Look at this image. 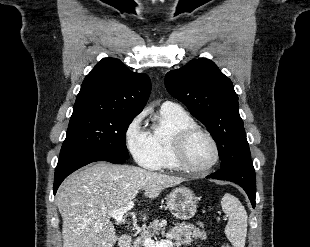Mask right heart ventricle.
<instances>
[{
  "mask_svg": "<svg viewBox=\"0 0 310 247\" xmlns=\"http://www.w3.org/2000/svg\"><path fill=\"white\" fill-rule=\"evenodd\" d=\"M197 125L182 108L161 107L160 118L152 126L150 140L156 165L150 169H179L174 156L175 137L179 130Z\"/></svg>",
  "mask_w": 310,
  "mask_h": 247,
  "instance_id": "obj_1",
  "label": "right heart ventricle"
}]
</instances>
